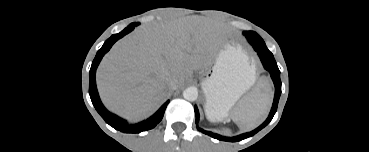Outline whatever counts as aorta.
I'll list each match as a JSON object with an SVG mask.
<instances>
[{
    "label": "aorta",
    "instance_id": "obj_1",
    "mask_svg": "<svg viewBox=\"0 0 369 152\" xmlns=\"http://www.w3.org/2000/svg\"><path fill=\"white\" fill-rule=\"evenodd\" d=\"M184 99L195 101L198 98V90L196 87H188L183 91Z\"/></svg>",
    "mask_w": 369,
    "mask_h": 152
}]
</instances>
